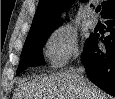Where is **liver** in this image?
<instances>
[{
  "mask_svg": "<svg viewBox=\"0 0 115 99\" xmlns=\"http://www.w3.org/2000/svg\"><path fill=\"white\" fill-rule=\"evenodd\" d=\"M86 95L82 91L75 72H60L46 77H38L21 82L13 99H108L105 93L84 79Z\"/></svg>",
  "mask_w": 115,
  "mask_h": 99,
  "instance_id": "6515ba94",
  "label": "liver"
}]
</instances>
